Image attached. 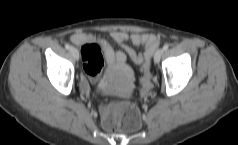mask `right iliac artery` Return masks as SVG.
Returning a JSON list of instances; mask_svg holds the SVG:
<instances>
[{
	"label": "right iliac artery",
	"mask_w": 238,
	"mask_h": 145,
	"mask_svg": "<svg viewBox=\"0 0 238 145\" xmlns=\"http://www.w3.org/2000/svg\"><path fill=\"white\" fill-rule=\"evenodd\" d=\"M65 48H66L67 50H69V49L71 48L70 44H69V43H66V44H65Z\"/></svg>",
	"instance_id": "obj_1"
}]
</instances>
